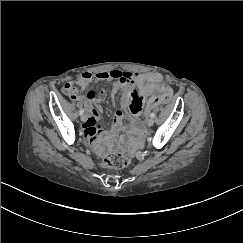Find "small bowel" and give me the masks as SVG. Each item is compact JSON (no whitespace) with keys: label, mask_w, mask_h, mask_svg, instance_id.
I'll use <instances>...</instances> for the list:
<instances>
[{"label":"small bowel","mask_w":243,"mask_h":243,"mask_svg":"<svg viewBox=\"0 0 243 243\" xmlns=\"http://www.w3.org/2000/svg\"><path fill=\"white\" fill-rule=\"evenodd\" d=\"M101 80H114V91L126 88L123 105L134 116L151 111L162 104L165 97H171L172 94L171 87L163 82L158 73H137L121 70L97 73L83 72L73 82H67L63 86V92L74 100L98 102L99 98L96 97L95 92L90 91L86 96H83L75 85L84 89L90 82ZM99 110V107L98 110L89 109L87 119L83 124L84 136L88 142L93 144L97 142L98 135L102 132L98 125ZM115 117L117 121H120L123 117L122 112L117 111Z\"/></svg>","instance_id":"1"}]
</instances>
